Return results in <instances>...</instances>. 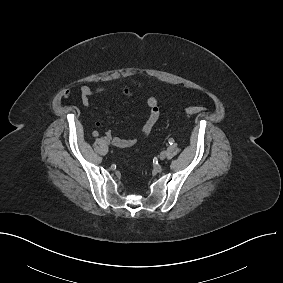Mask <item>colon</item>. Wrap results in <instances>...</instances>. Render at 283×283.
Returning <instances> with one entry per match:
<instances>
[{
    "instance_id": "1",
    "label": "colon",
    "mask_w": 283,
    "mask_h": 283,
    "mask_svg": "<svg viewBox=\"0 0 283 283\" xmlns=\"http://www.w3.org/2000/svg\"><path fill=\"white\" fill-rule=\"evenodd\" d=\"M204 108L202 106H189L185 109V113L189 116L202 112Z\"/></svg>"
}]
</instances>
